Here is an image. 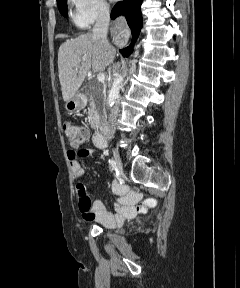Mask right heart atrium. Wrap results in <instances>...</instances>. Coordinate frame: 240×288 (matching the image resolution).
<instances>
[{"instance_id": "d8ad5b80", "label": "right heart atrium", "mask_w": 240, "mask_h": 288, "mask_svg": "<svg viewBox=\"0 0 240 288\" xmlns=\"http://www.w3.org/2000/svg\"><path fill=\"white\" fill-rule=\"evenodd\" d=\"M74 7V20L82 27L104 20L109 15L105 0H71Z\"/></svg>"}]
</instances>
